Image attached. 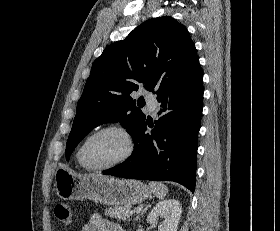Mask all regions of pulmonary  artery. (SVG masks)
Masks as SVG:
<instances>
[{"label":"pulmonary artery","instance_id":"1","mask_svg":"<svg viewBox=\"0 0 280 231\" xmlns=\"http://www.w3.org/2000/svg\"><path fill=\"white\" fill-rule=\"evenodd\" d=\"M144 97H145L146 105H158L157 97L154 93L147 92L145 93ZM149 112L155 113L156 110H149Z\"/></svg>","mask_w":280,"mask_h":231}]
</instances>
